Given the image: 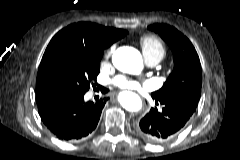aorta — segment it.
<instances>
[{
  "label": "aorta",
  "instance_id": "762f6f07",
  "mask_svg": "<svg viewBox=\"0 0 240 160\" xmlns=\"http://www.w3.org/2000/svg\"><path fill=\"white\" fill-rule=\"evenodd\" d=\"M114 66L123 72L136 73L142 68V56L132 47H120L112 55ZM119 102L128 111H138L141 108L140 97L130 91L119 95Z\"/></svg>",
  "mask_w": 240,
  "mask_h": 160
}]
</instances>
